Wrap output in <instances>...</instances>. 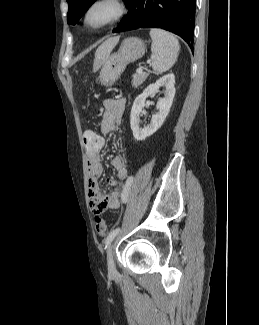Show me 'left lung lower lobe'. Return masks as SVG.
Returning <instances> with one entry per match:
<instances>
[{
    "label": "left lung lower lobe",
    "mask_w": 259,
    "mask_h": 325,
    "mask_svg": "<svg viewBox=\"0 0 259 325\" xmlns=\"http://www.w3.org/2000/svg\"><path fill=\"white\" fill-rule=\"evenodd\" d=\"M127 15L113 33L161 28L182 37L193 48L196 0H129Z\"/></svg>",
    "instance_id": "left-lung-lower-lobe-1"
}]
</instances>
